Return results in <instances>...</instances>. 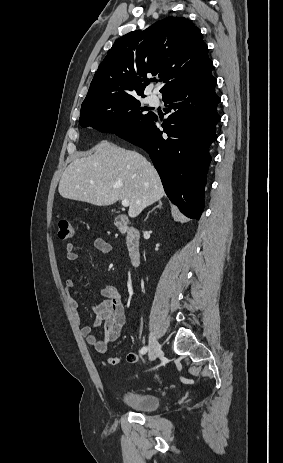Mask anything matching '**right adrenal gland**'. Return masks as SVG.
<instances>
[{"mask_svg": "<svg viewBox=\"0 0 283 463\" xmlns=\"http://www.w3.org/2000/svg\"><path fill=\"white\" fill-rule=\"evenodd\" d=\"M156 208H162V202H161V200H159L157 206H155L151 211L148 212L146 219L148 218L149 214H150L153 210H155Z\"/></svg>", "mask_w": 283, "mask_h": 463, "instance_id": "right-adrenal-gland-1", "label": "right adrenal gland"}]
</instances>
